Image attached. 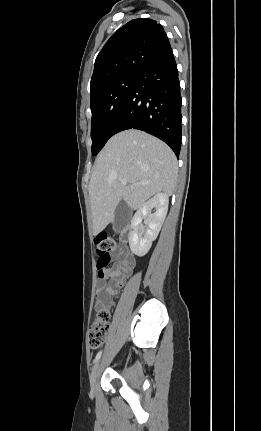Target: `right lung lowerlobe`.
<instances>
[{
  "label": "right lung lower lobe",
  "mask_w": 261,
  "mask_h": 431,
  "mask_svg": "<svg viewBox=\"0 0 261 431\" xmlns=\"http://www.w3.org/2000/svg\"><path fill=\"white\" fill-rule=\"evenodd\" d=\"M181 105L178 70L170 47L140 70L112 134L131 128L145 131L167 143L179 157Z\"/></svg>",
  "instance_id": "right-lung-lower-lobe-1"
}]
</instances>
